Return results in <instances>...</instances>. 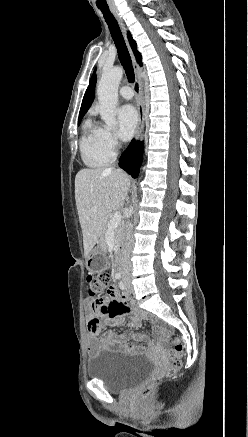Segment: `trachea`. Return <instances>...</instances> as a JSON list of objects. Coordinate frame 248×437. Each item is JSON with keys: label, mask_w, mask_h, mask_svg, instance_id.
I'll list each match as a JSON object with an SVG mask.
<instances>
[{"label": "trachea", "mask_w": 248, "mask_h": 437, "mask_svg": "<svg viewBox=\"0 0 248 437\" xmlns=\"http://www.w3.org/2000/svg\"><path fill=\"white\" fill-rule=\"evenodd\" d=\"M99 9L101 10L105 18V21L107 22V25L110 29V33L112 35L115 46L117 48L119 60L125 69L127 79L129 80V82L132 83L135 79L134 69L132 66L130 54L128 52L119 25L116 19L114 18V16L112 15V13L110 12L109 8L99 7Z\"/></svg>", "instance_id": "trachea-1"}]
</instances>
